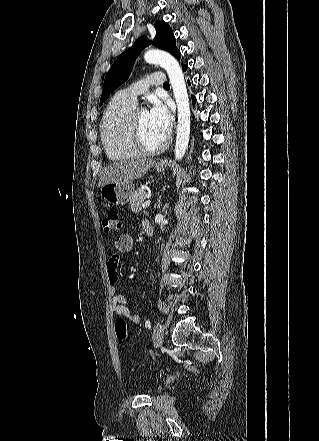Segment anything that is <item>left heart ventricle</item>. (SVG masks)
Listing matches in <instances>:
<instances>
[{"label": "left heart ventricle", "mask_w": 319, "mask_h": 441, "mask_svg": "<svg viewBox=\"0 0 319 441\" xmlns=\"http://www.w3.org/2000/svg\"><path fill=\"white\" fill-rule=\"evenodd\" d=\"M138 119H139L142 139L147 146L155 147L165 139V137L161 136L156 131L146 111L140 110L138 113Z\"/></svg>", "instance_id": "left-heart-ventricle-1"}]
</instances>
